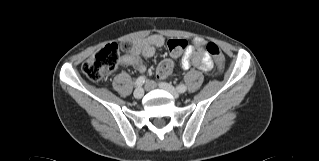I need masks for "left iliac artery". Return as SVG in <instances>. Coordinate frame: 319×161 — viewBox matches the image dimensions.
Returning <instances> with one entry per match:
<instances>
[{"label":"left iliac artery","instance_id":"left-iliac-artery-1","mask_svg":"<svg viewBox=\"0 0 319 161\" xmlns=\"http://www.w3.org/2000/svg\"><path fill=\"white\" fill-rule=\"evenodd\" d=\"M186 89L187 88H186V86L184 84H180V85L177 86V90L180 93H184L186 91Z\"/></svg>","mask_w":319,"mask_h":161}]
</instances>
